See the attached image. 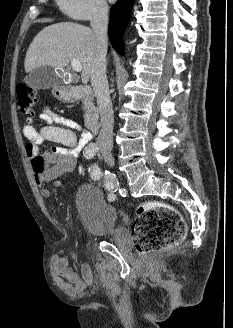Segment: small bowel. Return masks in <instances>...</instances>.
Wrapping results in <instances>:
<instances>
[{
	"instance_id": "small-bowel-1",
	"label": "small bowel",
	"mask_w": 233,
	"mask_h": 328,
	"mask_svg": "<svg viewBox=\"0 0 233 328\" xmlns=\"http://www.w3.org/2000/svg\"><path fill=\"white\" fill-rule=\"evenodd\" d=\"M43 125L36 129L30 119H27L22 132L27 142L25 144L26 155L34 161L39 152V146L44 141H52L60 144L46 154V159L55 166L52 170L41 174H35L36 184L42 188V194L49 197L50 193L45 188L47 184L55 181L60 175L70 172L75 166L76 158L93 138L91 132L83 130L75 121L55 114L46 107L40 116ZM76 131H80L79 138ZM52 267L55 272L57 286L67 295L75 297L84 293L87 287L93 284V274L90 267L82 265L80 273L70 266L67 256L55 255L52 258Z\"/></svg>"
}]
</instances>
